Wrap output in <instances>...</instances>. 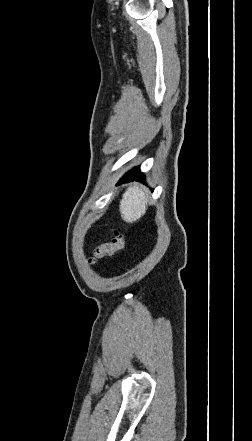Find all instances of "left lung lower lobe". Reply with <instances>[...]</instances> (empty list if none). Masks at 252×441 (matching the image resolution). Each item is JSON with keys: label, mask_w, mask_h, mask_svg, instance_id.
I'll return each mask as SVG.
<instances>
[{"label": "left lung lower lobe", "mask_w": 252, "mask_h": 441, "mask_svg": "<svg viewBox=\"0 0 252 441\" xmlns=\"http://www.w3.org/2000/svg\"><path fill=\"white\" fill-rule=\"evenodd\" d=\"M133 180H138V181H143V180H144V176H143V174L140 172L139 167H136V168L130 170L129 172H127V173L121 178V180L118 182V184H121V183H123V182L133 181Z\"/></svg>", "instance_id": "left-lung-lower-lobe-1"}]
</instances>
